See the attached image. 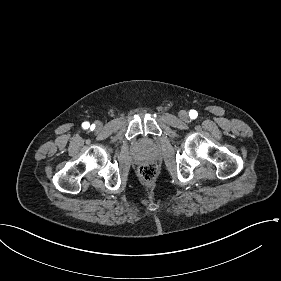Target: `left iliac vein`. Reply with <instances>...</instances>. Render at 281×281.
<instances>
[{
    "mask_svg": "<svg viewBox=\"0 0 281 281\" xmlns=\"http://www.w3.org/2000/svg\"><path fill=\"white\" fill-rule=\"evenodd\" d=\"M179 117L183 121H187L189 119V114L185 110H181L179 112Z\"/></svg>",
    "mask_w": 281,
    "mask_h": 281,
    "instance_id": "1",
    "label": "left iliac vein"
}]
</instances>
